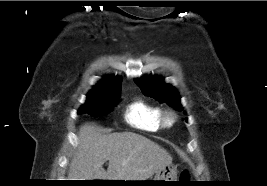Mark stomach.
Instances as JSON below:
<instances>
[{
  "mask_svg": "<svg viewBox=\"0 0 267 186\" xmlns=\"http://www.w3.org/2000/svg\"><path fill=\"white\" fill-rule=\"evenodd\" d=\"M176 179H177V169L171 163L169 165L164 166L159 171H157L155 173V176L151 178L150 180H144V181H152V182H147L144 185L168 186V185H172L170 183H173V182H165V181H177Z\"/></svg>",
  "mask_w": 267,
  "mask_h": 186,
  "instance_id": "stomach-1",
  "label": "stomach"
}]
</instances>
